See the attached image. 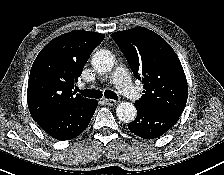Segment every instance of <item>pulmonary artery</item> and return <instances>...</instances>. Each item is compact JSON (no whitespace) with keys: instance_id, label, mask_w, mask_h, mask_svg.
<instances>
[{"instance_id":"e3ab8cb5","label":"pulmonary artery","mask_w":224,"mask_h":175,"mask_svg":"<svg viewBox=\"0 0 224 175\" xmlns=\"http://www.w3.org/2000/svg\"><path fill=\"white\" fill-rule=\"evenodd\" d=\"M111 82L118 88V90L126 97L137 100L141 94L137 87H135L123 67H118L112 74Z\"/></svg>"}]
</instances>
